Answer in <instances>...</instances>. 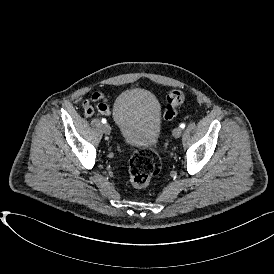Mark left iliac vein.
Instances as JSON below:
<instances>
[{
	"mask_svg": "<svg viewBox=\"0 0 274 274\" xmlns=\"http://www.w3.org/2000/svg\"><path fill=\"white\" fill-rule=\"evenodd\" d=\"M172 134L175 138H179L182 134V129L180 127H177L173 130Z\"/></svg>",
	"mask_w": 274,
	"mask_h": 274,
	"instance_id": "left-iliac-vein-1",
	"label": "left iliac vein"
}]
</instances>
